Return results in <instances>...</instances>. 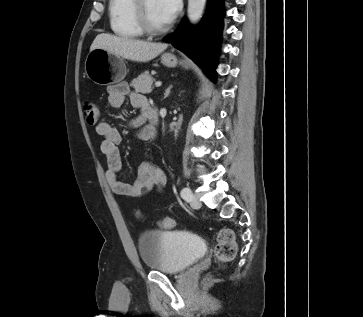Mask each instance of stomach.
Listing matches in <instances>:
<instances>
[{"label":"stomach","instance_id":"0dacf381","mask_svg":"<svg viewBox=\"0 0 363 317\" xmlns=\"http://www.w3.org/2000/svg\"><path fill=\"white\" fill-rule=\"evenodd\" d=\"M161 62L168 68L182 65L188 68L186 61H178L171 53L161 56ZM85 73L97 85H110L122 81L126 76V65L123 59L107 50L97 48L90 51L85 60Z\"/></svg>","mask_w":363,"mask_h":317}]
</instances>
